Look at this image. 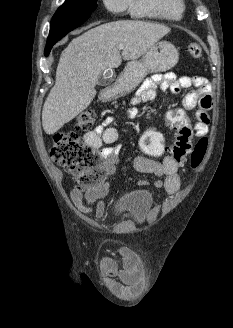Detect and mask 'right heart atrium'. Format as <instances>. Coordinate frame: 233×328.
<instances>
[{
	"mask_svg": "<svg viewBox=\"0 0 233 328\" xmlns=\"http://www.w3.org/2000/svg\"><path fill=\"white\" fill-rule=\"evenodd\" d=\"M106 7L112 12H121L126 7V0H103Z\"/></svg>",
	"mask_w": 233,
	"mask_h": 328,
	"instance_id": "obj_1",
	"label": "right heart atrium"
}]
</instances>
